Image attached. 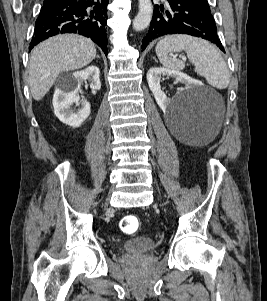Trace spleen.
<instances>
[{"instance_id": "obj_1", "label": "spleen", "mask_w": 267, "mask_h": 301, "mask_svg": "<svg viewBox=\"0 0 267 301\" xmlns=\"http://www.w3.org/2000/svg\"><path fill=\"white\" fill-rule=\"evenodd\" d=\"M160 63L171 70L185 68L184 62L168 54L185 51L195 72L204 77L208 84L225 89L229 85V71L219 51L208 41L190 35H169L160 40L155 48Z\"/></svg>"}]
</instances>
